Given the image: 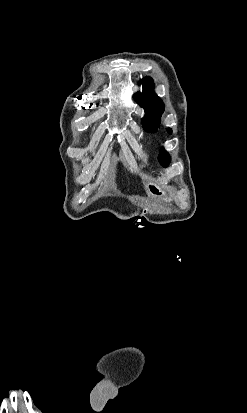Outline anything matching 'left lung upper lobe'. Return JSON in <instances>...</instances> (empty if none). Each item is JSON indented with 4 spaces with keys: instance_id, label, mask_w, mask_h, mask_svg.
<instances>
[{
    "instance_id": "1",
    "label": "left lung upper lobe",
    "mask_w": 247,
    "mask_h": 413,
    "mask_svg": "<svg viewBox=\"0 0 247 413\" xmlns=\"http://www.w3.org/2000/svg\"><path fill=\"white\" fill-rule=\"evenodd\" d=\"M140 83L143 85V91L136 93L134 99L146 112V116L142 119L145 131L155 132L160 123L161 114L164 111V104L162 100L151 91L154 88V83L150 77H146L140 81ZM167 132L171 134L172 130L167 128ZM158 160L163 166H168L170 163L168 152L161 149Z\"/></svg>"
}]
</instances>
